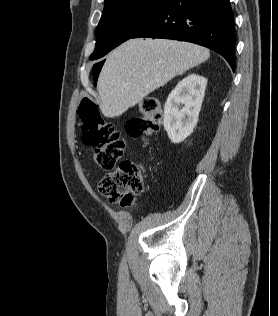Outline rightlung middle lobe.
<instances>
[{
  "mask_svg": "<svg viewBox=\"0 0 278 316\" xmlns=\"http://www.w3.org/2000/svg\"><path fill=\"white\" fill-rule=\"evenodd\" d=\"M167 0H108L96 30L91 60L103 57L149 23ZM94 74H98L94 70Z\"/></svg>",
  "mask_w": 278,
  "mask_h": 316,
  "instance_id": "dd1d6c3e",
  "label": "right lung middle lobe"
}]
</instances>
